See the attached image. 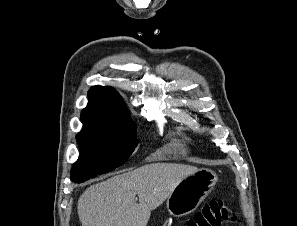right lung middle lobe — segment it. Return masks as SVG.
<instances>
[{"instance_id":"right-lung-middle-lobe-1","label":"right lung middle lobe","mask_w":297,"mask_h":226,"mask_svg":"<svg viewBox=\"0 0 297 226\" xmlns=\"http://www.w3.org/2000/svg\"><path fill=\"white\" fill-rule=\"evenodd\" d=\"M76 139L80 155L70 172V179L76 183L115 169L138 144L136 125L130 121L129 111L120 116L116 126H83Z\"/></svg>"}]
</instances>
